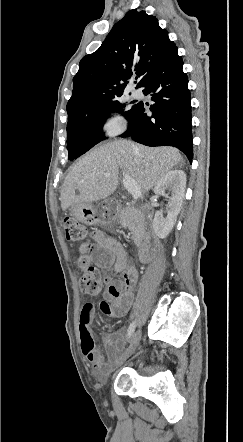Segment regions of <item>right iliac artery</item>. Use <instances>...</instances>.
<instances>
[{
    "mask_svg": "<svg viewBox=\"0 0 243 442\" xmlns=\"http://www.w3.org/2000/svg\"><path fill=\"white\" fill-rule=\"evenodd\" d=\"M134 330H135V322H132L130 324L129 328H128V334H127L128 338L131 337V335L133 334Z\"/></svg>",
    "mask_w": 243,
    "mask_h": 442,
    "instance_id": "right-iliac-artery-1",
    "label": "right iliac artery"
}]
</instances>
